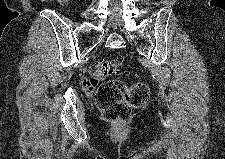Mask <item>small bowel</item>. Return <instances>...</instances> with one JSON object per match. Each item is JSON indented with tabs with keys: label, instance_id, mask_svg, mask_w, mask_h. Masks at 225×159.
<instances>
[{
	"label": "small bowel",
	"instance_id": "obj_1",
	"mask_svg": "<svg viewBox=\"0 0 225 159\" xmlns=\"http://www.w3.org/2000/svg\"><path fill=\"white\" fill-rule=\"evenodd\" d=\"M97 83L98 82L95 81L94 77L84 79L83 82H82L83 89L87 93H92L95 90V88L97 86Z\"/></svg>",
	"mask_w": 225,
	"mask_h": 159
}]
</instances>
